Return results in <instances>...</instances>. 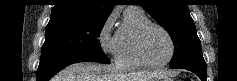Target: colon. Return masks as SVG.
<instances>
[{
  "mask_svg": "<svg viewBox=\"0 0 237 81\" xmlns=\"http://www.w3.org/2000/svg\"><path fill=\"white\" fill-rule=\"evenodd\" d=\"M183 81H192V80H191V78H189V77H185V78L183 79Z\"/></svg>",
  "mask_w": 237,
  "mask_h": 81,
  "instance_id": "1",
  "label": "colon"
}]
</instances>
